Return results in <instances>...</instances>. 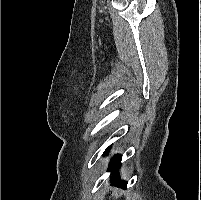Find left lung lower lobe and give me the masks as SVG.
<instances>
[{
  "mask_svg": "<svg viewBox=\"0 0 201 200\" xmlns=\"http://www.w3.org/2000/svg\"><path fill=\"white\" fill-rule=\"evenodd\" d=\"M111 148V146H109L106 151L103 153V156H106L108 155V151L109 149ZM121 155L117 154L115 155L110 163H109V168L107 171L111 172V183L112 184H117V186L119 187H123V188H126L127 186V182L126 181H123L120 179V176H119V173H118V170H119V167L121 166Z\"/></svg>",
  "mask_w": 201,
  "mask_h": 200,
  "instance_id": "1",
  "label": "left lung lower lobe"
}]
</instances>
